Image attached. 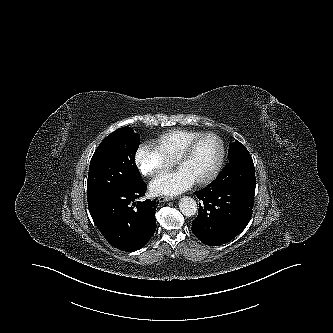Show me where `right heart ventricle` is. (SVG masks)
Masks as SVG:
<instances>
[{
    "mask_svg": "<svg viewBox=\"0 0 333 333\" xmlns=\"http://www.w3.org/2000/svg\"><path fill=\"white\" fill-rule=\"evenodd\" d=\"M202 132L194 130H171L153 142V148L164 158L175 161L189 141Z\"/></svg>",
    "mask_w": 333,
    "mask_h": 333,
    "instance_id": "right-heart-ventricle-1",
    "label": "right heart ventricle"
}]
</instances>
